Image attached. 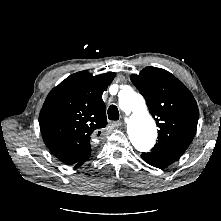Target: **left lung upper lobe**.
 <instances>
[{
	"mask_svg": "<svg viewBox=\"0 0 221 221\" xmlns=\"http://www.w3.org/2000/svg\"><path fill=\"white\" fill-rule=\"evenodd\" d=\"M130 79L144 96L159 127L152 152L182 156L198 123V107L191 92L171 73L156 67H146Z\"/></svg>",
	"mask_w": 221,
	"mask_h": 221,
	"instance_id": "obj_1",
	"label": "left lung upper lobe"
}]
</instances>
